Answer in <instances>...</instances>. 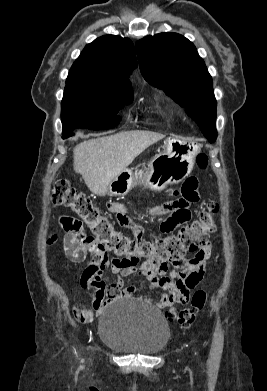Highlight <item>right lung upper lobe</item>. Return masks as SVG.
I'll return each mask as SVG.
<instances>
[{
  "label": "right lung upper lobe",
  "instance_id": "cb5924a9",
  "mask_svg": "<svg viewBox=\"0 0 267 391\" xmlns=\"http://www.w3.org/2000/svg\"><path fill=\"white\" fill-rule=\"evenodd\" d=\"M136 66L131 40L106 35L84 48L66 81L92 80L110 89L133 92L127 76Z\"/></svg>",
  "mask_w": 267,
  "mask_h": 391
}]
</instances>
